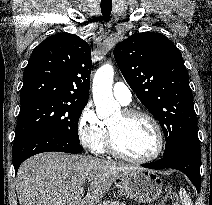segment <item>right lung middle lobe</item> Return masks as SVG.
<instances>
[{
    "label": "right lung middle lobe",
    "instance_id": "obj_1",
    "mask_svg": "<svg viewBox=\"0 0 212 205\" xmlns=\"http://www.w3.org/2000/svg\"><path fill=\"white\" fill-rule=\"evenodd\" d=\"M86 104L53 98L22 100L15 140L36 133H51L79 142L77 125Z\"/></svg>",
    "mask_w": 212,
    "mask_h": 205
}]
</instances>
